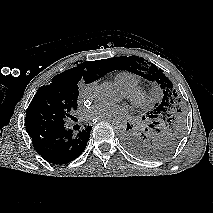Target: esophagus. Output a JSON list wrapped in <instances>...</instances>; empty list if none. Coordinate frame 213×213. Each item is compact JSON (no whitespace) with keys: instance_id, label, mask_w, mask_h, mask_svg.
Instances as JSON below:
<instances>
[{"instance_id":"34e87169","label":"esophagus","mask_w":213,"mask_h":213,"mask_svg":"<svg viewBox=\"0 0 213 213\" xmlns=\"http://www.w3.org/2000/svg\"><path fill=\"white\" fill-rule=\"evenodd\" d=\"M101 120H109V121H112L113 120V117H108V118H105V119H99V121Z\"/></svg>"}]
</instances>
